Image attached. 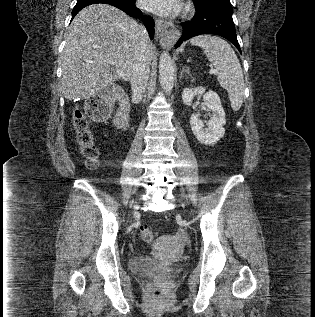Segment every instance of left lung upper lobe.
<instances>
[{"mask_svg":"<svg viewBox=\"0 0 315 317\" xmlns=\"http://www.w3.org/2000/svg\"><path fill=\"white\" fill-rule=\"evenodd\" d=\"M193 2L198 8L233 11L230 0H193Z\"/></svg>","mask_w":315,"mask_h":317,"instance_id":"left-lung-upper-lobe-1","label":"left lung upper lobe"}]
</instances>
